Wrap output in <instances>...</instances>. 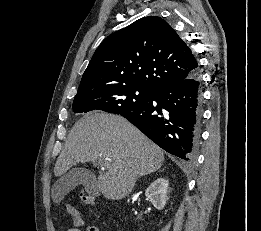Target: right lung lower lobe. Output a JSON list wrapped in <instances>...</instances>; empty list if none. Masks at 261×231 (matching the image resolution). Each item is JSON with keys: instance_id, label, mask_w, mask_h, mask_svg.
<instances>
[{"instance_id": "98d812e1", "label": "right lung lower lobe", "mask_w": 261, "mask_h": 231, "mask_svg": "<svg viewBox=\"0 0 261 231\" xmlns=\"http://www.w3.org/2000/svg\"><path fill=\"white\" fill-rule=\"evenodd\" d=\"M201 101L196 71L185 79L160 86L147 104L121 116L170 154L193 161L200 137Z\"/></svg>"}]
</instances>
